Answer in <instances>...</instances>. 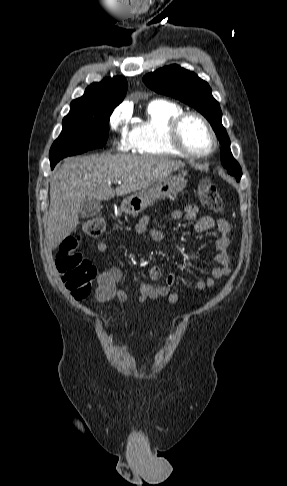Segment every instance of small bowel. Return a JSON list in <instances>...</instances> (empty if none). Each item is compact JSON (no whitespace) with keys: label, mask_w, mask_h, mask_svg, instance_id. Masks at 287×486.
<instances>
[{"label":"small bowel","mask_w":287,"mask_h":486,"mask_svg":"<svg viewBox=\"0 0 287 486\" xmlns=\"http://www.w3.org/2000/svg\"><path fill=\"white\" fill-rule=\"evenodd\" d=\"M169 217L172 219H187L195 220V230L197 232H205L217 227L218 236L215 239V247L217 254L215 262L217 266L211 271L210 277L205 280H198L196 288L200 291L206 288L213 287L216 281L222 277L228 276L232 272L230 265V255L228 247L231 238V227L229 222L220 218L215 221L211 216L204 215L198 217V207L196 205H188L183 210H174L170 212ZM152 215L142 216L135 225V231L139 234L148 236L153 241H160L163 234L157 227L151 226L150 222ZM99 252H106L108 244L106 241H100L97 245ZM150 282H141L139 284V302H144L148 299L158 300L162 297H167L172 304L179 302L180 295L172 291L176 281V276L173 273L166 275L162 283L159 281L163 278V271L160 266H152L148 273ZM123 278L122 271L116 267L104 266L100 272L97 280V288L94 296L98 302H106L113 298H117L121 302L128 300L127 291L120 287Z\"/></svg>","instance_id":"obj_1"}]
</instances>
